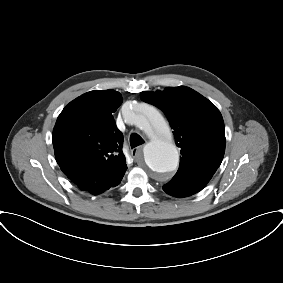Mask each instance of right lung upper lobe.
Listing matches in <instances>:
<instances>
[{
  "instance_id": "right-lung-upper-lobe-1",
  "label": "right lung upper lobe",
  "mask_w": 283,
  "mask_h": 283,
  "mask_svg": "<svg viewBox=\"0 0 283 283\" xmlns=\"http://www.w3.org/2000/svg\"><path fill=\"white\" fill-rule=\"evenodd\" d=\"M121 103L114 90L90 91L71 101L57 118L52 135L56 160L81 190L94 184L110 188L127 170L123 135L112 115Z\"/></svg>"
}]
</instances>
